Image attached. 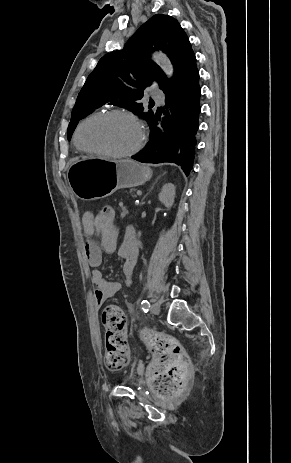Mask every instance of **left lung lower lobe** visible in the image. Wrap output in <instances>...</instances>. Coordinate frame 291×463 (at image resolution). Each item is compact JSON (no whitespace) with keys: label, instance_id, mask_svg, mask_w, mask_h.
<instances>
[{"label":"left lung lower lobe","instance_id":"left-lung-lower-lobe-1","mask_svg":"<svg viewBox=\"0 0 291 463\" xmlns=\"http://www.w3.org/2000/svg\"><path fill=\"white\" fill-rule=\"evenodd\" d=\"M201 89L195 68L165 92V114L154 115L148 122L149 142L132 158L144 163L172 162L181 166L186 175L193 168Z\"/></svg>","mask_w":291,"mask_h":463}]
</instances>
